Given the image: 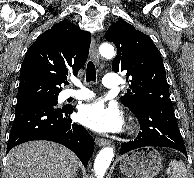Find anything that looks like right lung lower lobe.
Returning a JSON list of instances; mask_svg holds the SVG:
<instances>
[{"label":"right lung lower lobe","instance_id":"1","mask_svg":"<svg viewBox=\"0 0 194 178\" xmlns=\"http://www.w3.org/2000/svg\"><path fill=\"white\" fill-rule=\"evenodd\" d=\"M72 107L56 108L45 103L16 105L7 152L32 140H49L72 150L86 167L94 151V141L87 130L72 123Z\"/></svg>","mask_w":194,"mask_h":178}]
</instances>
